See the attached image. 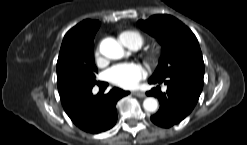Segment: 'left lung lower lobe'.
<instances>
[{"label": "left lung lower lobe", "mask_w": 247, "mask_h": 145, "mask_svg": "<svg viewBox=\"0 0 247 145\" xmlns=\"http://www.w3.org/2000/svg\"><path fill=\"white\" fill-rule=\"evenodd\" d=\"M149 83L167 85L166 93L159 91V87L146 92L160 102L159 111L151 117L152 122L165 128L181 122L193 110L203 88V78L182 73L161 80L149 79Z\"/></svg>", "instance_id": "obj_1"}]
</instances>
